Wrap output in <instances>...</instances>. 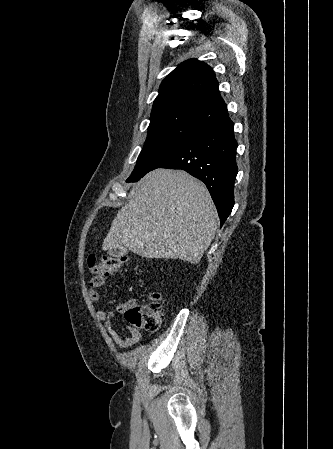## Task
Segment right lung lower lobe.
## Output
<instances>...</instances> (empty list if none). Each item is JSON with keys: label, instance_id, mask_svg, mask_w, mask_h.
I'll return each mask as SVG.
<instances>
[{"label": "right lung lower lobe", "instance_id": "right-lung-lower-lobe-1", "mask_svg": "<svg viewBox=\"0 0 333 449\" xmlns=\"http://www.w3.org/2000/svg\"><path fill=\"white\" fill-rule=\"evenodd\" d=\"M233 128L228 116L207 126L152 169H182L203 181L215 203L221 226L234 206L233 188L238 168Z\"/></svg>", "mask_w": 333, "mask_h": 449}]
</instances>
